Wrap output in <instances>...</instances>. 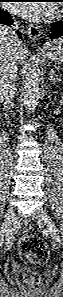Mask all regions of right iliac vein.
<instances>
[{
    "label": "right iliac vein",
    "mask_w": 63,
    "mask_h": 297,
    "mask_svg": "<svg viewBox=\"0 0 63 297\" xmlns=\"http://www.w3.org/2000/svg\"><path fill=\"white\" fill-rule=\"evenodd\" d=\"M13 218H14V211H13L12 207H10L5 214L1 232H4L9 228ZM12 245H13V235L7 236L6 237V247L10 248V247H12Z\"/></svg>",
    "instance_id": "63e3f726"
}]
</instances>
